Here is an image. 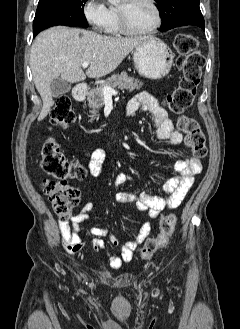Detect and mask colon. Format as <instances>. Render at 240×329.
Instances as JSON below:
<instances>
[{"instance_id":"1","label":"colon","mask_w":240,"mask_h":329,"mask_svg":"<svg viewBox=\"0 0 240 329\" xmlns=\"http://www.w3.org/2000/svg\"><path fill=\"white\" fill-rule=\"evenodd\" d=\"M179 54L176 64L181 71V78L174 90L165 99L167 107L175 114H182L194 102L197 88L201 81L204 55L199 50L197 39L190 34H178L174 40ZM75 119L68 96H60L51 112V120L61 127L69 126ZM178 129L184 134L185 144L191 149L196 158L206 155L205 136L196 119L181 115L178 120ZM42 170L53 177L44 183V191L55 212L61 220H67L79 203L80 193L76 188L68 185V180L83 179L86 170L76 160H68L58 144L46 140L40 149ZM177 223L175 214H168L160 220V233L149 238L141 250L143 260L150 259L158 250L164 248L172 236Z\"/></svg>"}]
</instances>
